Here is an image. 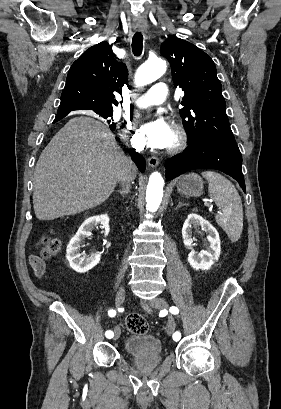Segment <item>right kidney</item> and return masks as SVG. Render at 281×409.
I'll return each mask as SVG.
<instances>
[{
	"label": "right kidney",
	"instance_id": "ca27d5eb",
	"mask_svg": "<svg viewBox=\"0 0 281 409\" xmlns=\"http://www.w3.org/2000/svg\"><path fill=\"white\" fill-rule=\"evenodd\" d=\"M103 225L105 231L104 235L107 237L109 235V217L108 215H95V217H88L81 227H79L76 235L72 237L67 245V249L70 251L71 255V269L77 271V273H87L90 269H93L101 259V253H90L88 257H82L80 253V247L86 241L87 237L92 235L96 225Z\"/></svg>",
	"mask_w": 281,
	"mask_h": 409
}]
</instances>
